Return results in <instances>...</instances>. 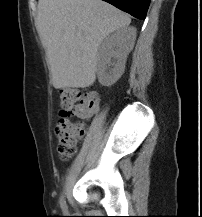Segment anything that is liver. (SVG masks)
<instances>
[{
    "label": "liver",
    "mask_w": 202,
    "mask_h": 217,
    "mask_svg": "<svg viewBox=\"0 0 202 217\" xmlns=\"http://www.w3.org/2000/svg\"><path fill=\"white\" fill-rule=\"evenodd\" d=\"M130 23L129 15L102 0H39L35 24L53 86H91L103 39Z\"/></svg>",
    "instance_id": "1"
}]
</instances>
